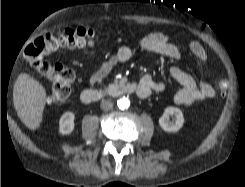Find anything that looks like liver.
<instances>
[{
  "label": "liver",
  "instance_id": "1",
  "mask_svg": "<svg viewBox=\"0 0 245 187\" xmlns=\"http://www.w3.org/2000/svg\"><path fill=\"white\" fill-rule=\"evenodd\" d=\"M45 88L30 75L21 73L13 89V103L18 117L30 130L39 128L46 104Z\"/></svg>",
  "mask_w": 245,
  "mask_h": 187
}]
</instances>
